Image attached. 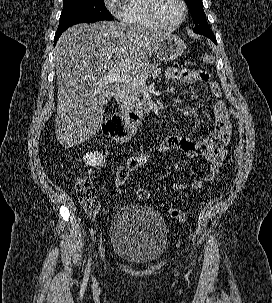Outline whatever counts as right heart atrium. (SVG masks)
Masks as SVG:
<instances>
[{
    "label": "right heart atrium",
    "instance_id": "obj_1",
    "mask_svg": "<svg viewBox=\"0 0 272 303\" xmlns=\"http://www.w3.org/2000/svg\"><path fill=\"white\" fill-rule=\"evenodd\" d=\"M106 7L116 16H121L124 0H105Z\"/></svg>",
    "mask_w": 272,
    "mask_h": 303
}]
</instances>
